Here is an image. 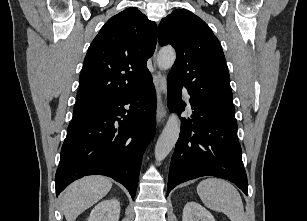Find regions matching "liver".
I'll use <instances>...</instances> for the list:
<instances>
[{
  "label": "liver",
  "instance_id": "1",
  "mask_svg": "<svg viewBox=\"0 0 307 221\" xmlns=\"http://www.w3.org/2000/svg\"><path fill=\"white\" fill-rule=\"evenodd\" d=\"M112 182L104 176H87L73 182L61 196L66 221H75L85 210L107 195Z\"/></svg>",
  "mask_w": 307,
  "mask_h": 221
}]
</instances>
